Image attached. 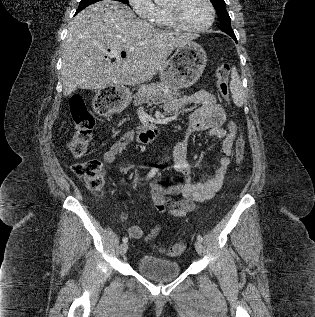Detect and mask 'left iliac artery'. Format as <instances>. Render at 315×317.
Here are the masks:
<instances>
[{
    "instance_id": "1",
    "label": "left iliac artery",
    "mask_w": 315,
    "mask_h": 317,
    "mask_svg": "<svg viewBox=\"0 0 315 317\" xmlns=\"http://www.w3.org/2000/svg\"><path fill=\"white\" fill-rule=\"evenodd\" d=\"M197 239H198L199 241H201V242L203 241V237H202L201 235H198V236H197Z\"/></svg>"
}]
</instances>
